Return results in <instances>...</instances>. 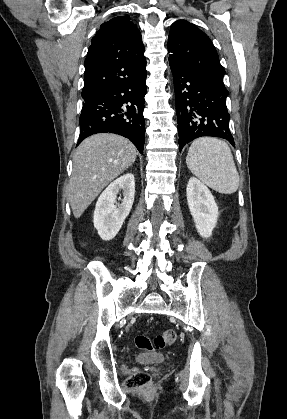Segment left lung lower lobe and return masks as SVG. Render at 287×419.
Masks as SVG:
<instances>
[{
	"instance_id": "left-lung-lower-lobe-1",
	"label": "left lung lower lobe",
	"mask_w": 287,
	"mask_h": 419,
	"mask_svg": "<svg viewBox=\"0 0 287 419\" xmlns=\"http://www.w3.org/2000/svg\"><path fill=\"white\" fill-rule=\"evenodd\" d=\"M179 150L199 137H220L234 146L229 130L228 91L222 78L174 70Z\"/></svg>"
}]
</instances>
